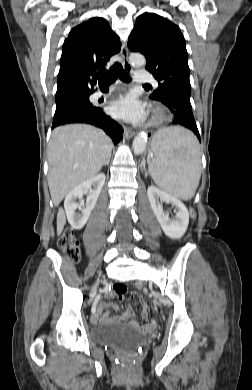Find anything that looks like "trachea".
<instances>
[{
  "label": "trachea",
  "instance_id": "trachea-1",
  "mask_svg": "<svg viewBox=\"0 0 252 390\" xmlns=\"http://www.w3.org/2000/svg\"><path fill=\"white\" fill-rule=\"evenodd\" d=\"M117 78L127 83L131 81L130 76L125 72V70L123 69L120 63H115L110 68L108 73L104 76V78L102 80H99L98 82L99 87L107 88L109 85L115 82ZM145 86H150V85L146 84Z\"/></svg>",
  "mask_w": 252,
  "mask_h": 390
}]
</instances>
